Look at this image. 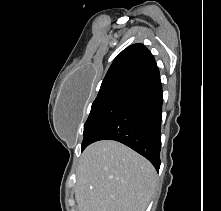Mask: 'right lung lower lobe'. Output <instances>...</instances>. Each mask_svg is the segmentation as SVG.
<instances>
[{"label": "right lung lower lobe", "mask_w": 221, "mask_h": 211, "mask_svg": "<svg viewBox=\"0 0 221 211\" xmlns=\"http://www.w3.org/2000/svg\"><path fill=\"white\" fill-rule=\"evenodd\" d=\"M162 103L161 80L140 87L82 151L98 140H116L143 155L158 171Z\"/></svg>", "instance_id": "98d812e1"}]
</instances>
